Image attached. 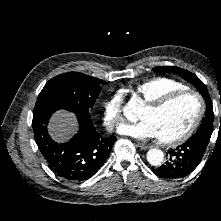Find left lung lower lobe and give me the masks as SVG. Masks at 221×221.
I'll list each match as a JSON object with an SVG mask.
<instances>
[{
    "mask_svg": "<svg viewBox=\"0 0 221 221\" xmlns=\"http://www.w3.org/2000/svg\"><path fill=\"white\" fill-rule=\"evenodd\" d=\"M209 141V134H194L185 143L170 150L166 163L154 169V173L166 179H179L189 175L201 162Z\"/></svg>",
    "mask_w": 221,
    "mask_h": 221,
    "instance_id": "1",
    "label": "left lung lower lobe"
}]
</instances>
